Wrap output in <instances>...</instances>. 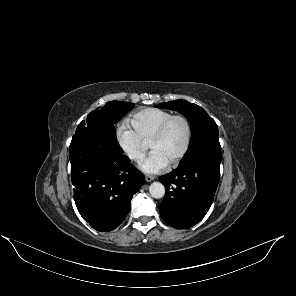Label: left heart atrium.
I'll return each instance as SVG.
<instances>
[{"instance_id":"1","label":"left heart atrium","mask_w":296,"mask_h":296,"mask_svg":"<svg viewBox=\"0 0 296 296\" xmlns=\"http://www.w3.org/2000/svg\"><path fill=\"white\" fill-rule=\"evenodd\" d=\"M170 162L159 152H152L150 156L140 165L147 173H158L169 166Z\"/></svg>"}]
</instances>
